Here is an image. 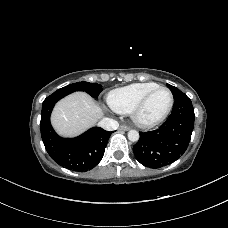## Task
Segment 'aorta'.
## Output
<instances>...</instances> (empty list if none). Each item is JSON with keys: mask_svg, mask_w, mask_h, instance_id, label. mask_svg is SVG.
I'll use <instances>...</instances> for the list:
<instances>
[{"mask_svg": "<svg viewBox=\"0 0 228 228\" xmlns=\"http://www.w3.org/2000/svg\"><path fill=\"white\" fill-rule=\"evenodd\" d=\"M128 139L132 142H137L139 140V133L136 130H130L128 132Z\"/></svg>", "mask_w": 228, "mask_h": 228, "instance_id": "obj_1", "label": "aorta"}]
</instances>
